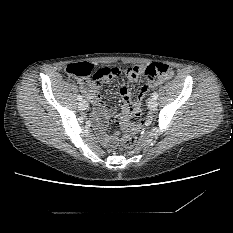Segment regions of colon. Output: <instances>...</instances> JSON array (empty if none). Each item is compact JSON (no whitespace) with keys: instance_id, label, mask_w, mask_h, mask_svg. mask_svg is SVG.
<instances>
[{"instance_id":"obj_1","label":"colon","mask_w":233,"mask_h":233,"mask_svg":"<svg viewBox=\"0 0 233 233\" xmlns=\"http://www.w3.org/2000/svg\"><path fill=\"white\" fill-rule=\"evenodd\" d=\"M170 70V67L164 63H152L146 67H141L139 65H116L113 67L95 68L92 63L83 61L67 65L65 68V73L68 75L77 76L81 79H87L92 76L94 80H98L112 73L119 74L120 72H124L130 77H144L148 80H152L158 76H163L166 78L169 77ZM125 110L129 116L138 117L140 115V108L136 105L126 104ZM121 119V116L116 117L117 122H121ZM139 126L140 123L131 126L125 134L114 137L111 143L117 146L120 150L132 148L135 143V135L133 134V130L137 129Z\"/></svg>"}]
</instances>
